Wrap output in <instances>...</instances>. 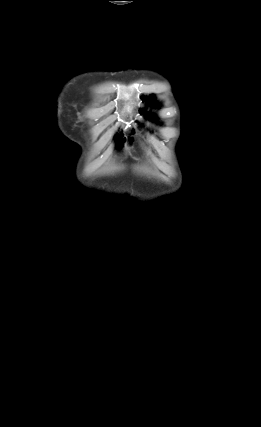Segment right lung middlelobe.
<instances>
[{"label":"right lung middle lobe","instance_id":"obj_1","mask_svg":"<svg viewBox=\"0 0 261 427\" xmlns=\"http://www.w3.org/2000/svg\"><path fill=\"white\" fill-rule=\"evenodd\" d=\"M116 139H117V146H120L122 143L121 137H117Z\"/></svg>","mask_w":261,"mask_h":427}]
</instances>
